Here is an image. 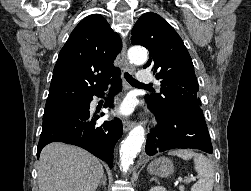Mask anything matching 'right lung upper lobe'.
Instances as JSON below:
<instances>
[{
  "label": "right lung upper lobe",
  "instance_id": "obj_1",
  "mask_svg": "<svg viewBox=\"0 0 251 191\" xmlns=\"http://www.w3.org/2000/svg\"><path fill=\"white\" fill-rule=\"evenodd\" d=\"M122 42L99 14L84 18L61 49L45 109L83 102L119 78L113 66Z\"/></svg>",
  "mask_w": 251,
  "mask_h": 191
}]
</instances>
